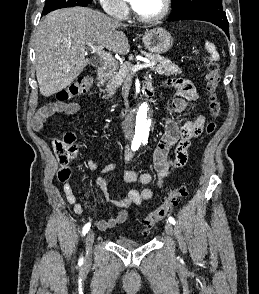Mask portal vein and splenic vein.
<instances>
[{
  "mask_svg": "<svg viewBox=\"0 0 259 294\" xmlns=\"http://www.w3.org/2000/svg\"><path fill=\"white\" fill-rule=\"evenodd\" d=\"M91 50L95 53H97L104 61L110 62V63H114L115 59L112 57V55H110L109 53L103 51L102 47L100 46H96L93 47L91 46ZM145 63L143 64H136L133 65L130 70L131 72L135 73L136 71L143 69V68H147V67H154L156 65V62L154 61H148V60H144Z\"/></svg>",
  "mask_w": 259,
  "mask_h": 294,
  "instance_id": "1",
  "label": "portal vein and splenic vein"
}]
</instances>
